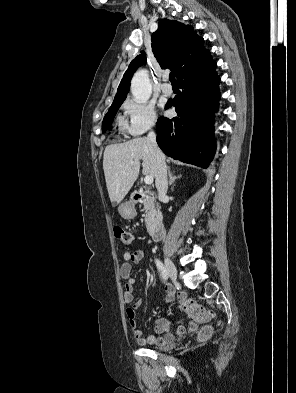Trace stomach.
<instances>
[{"instance_id":"obj_1","label":"stomach","mask_w":296,"mask_h":393,"mask_svg":"<svg viewBox=\"0 0 296 393\" xmlns=\"http://www.w3.org/2000/svg\"><path fill=\"white\" fill-rule=\"evenodd\" d=\"M118 211L120 215L127 220L134 219L137 215L134 204L131 202H124L120 204V206L118 207Z\"/></svg>"}]
</instances>
